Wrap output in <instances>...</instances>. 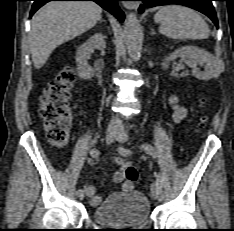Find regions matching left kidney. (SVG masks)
<instances>
[{
  "label": "left kidney",
  "instance_id": "1",
  "mask_svg": "<svg viewBox=\"0 0 234 231\" xmlns=\"http://www.w3.org/2000/svg\"><path fill=\"white\" fill-rule=\"evenodd\" d=\"M178 57L186 58L191 62L193 68L192 75L199 80L216 78L224 71V63L221 59L196 46H184L175 50L165 58L162 66L167 68L168 63ZM204 63L206 64L205 71H200L196 65Z\"/></svg>",
  "mask_w": 234,
  "mask_h": 231
}]
</instances>
